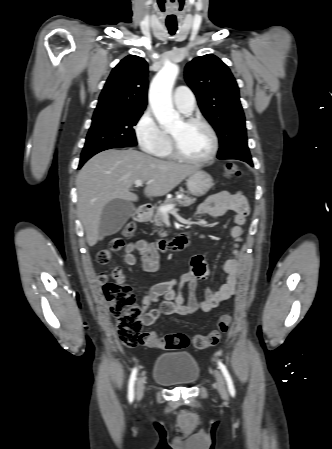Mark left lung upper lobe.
I'll use <instances>...</instances> for the list:
<instances>
[{
  "mask_svg": "<svg viewBox=\"0 0 332 449\" xmlns=\"http://www.w3.org/2000/svg\"><path fill=\"white\" fill-rule=\"evenodd\" d=\"M185 79L219 138V159H251L239 89L230 69L218 57H197L185 67Z\"/></svg>",
  "mask_w": 332,
  "mask_h": 449,
  "instance_id": "5c2ea615",
  "label": "left lung upper lobe"
}]
</instances>
